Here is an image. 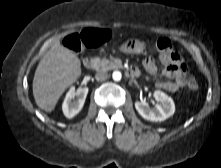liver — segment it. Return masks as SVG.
<instances>
[{
    "label": "liver",
    "instance_id": "liver-1",
    "mask_svg": "<svg viewBox=\"0 0 221 168\" xmlns=\"http://www.w3.org/2000/svg\"><path fill=\"white\" fill-rule=\"evenodd\" d=\"M81 75V62L56 40L40 60L33 79V96L37 106L52 112L65 90Z\"/></svg>",
    "mask_w": 221,
    "mask_h": 168
}]
</instances>
